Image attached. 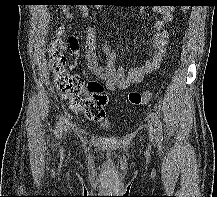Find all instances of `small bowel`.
I'll return each mask as SVG.
<instances>
[{
	"label": "small bowel",
	"instance_id": "small-bowel-1",
	"mask_svg": "<svg viewBox=\"0 0 217 197\" xmlns=\"http://www.w3.org/2000/svg\"><path fill=\"white\" fill-rule=\"evenodd\" d=\"M153 10L162 16L155 23V31L152 35V47L154 51L144 65L130 69L127 75L122 67H116L117 55L108 45L103 47L104 66L99 65L96 54L98 43L96 30L93 27H89L86 30L84 60L89 70L105 81L108 90L128 89L140 83L146 76L157 70L163 61L166 55V42L168 38L166 27L173 19V7L168 4L155 5ZM82 13L85 16L89 15V11L86 8H82ZM64 15L68 21L75 19V14L69 8L64 9ZM69 46L74 55L77 49L76 35L70 38Z\"/></svg>",
	"mask_w": 217,
	"mask_h": 197
}]
</instances>
